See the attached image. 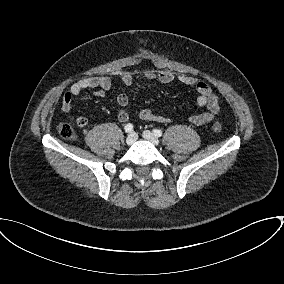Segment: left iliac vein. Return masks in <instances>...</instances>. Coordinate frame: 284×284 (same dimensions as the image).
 <instances>
[{"label":"left iliac vein","instance_id":"4c4485c4","mask_svg":"<svg viewBox=\"0 0 284 284\" xmlns=\"http://www.w3.org/2000/svg\"><path fill=\"white\" fill-rule=\"evenodd\" d=\"M142 135L144 139L151 142L152 144L156 146L159 144V139L149 130H145Z\"/></svg>","mask_w":284,"mask_h":284}]
</instances>
